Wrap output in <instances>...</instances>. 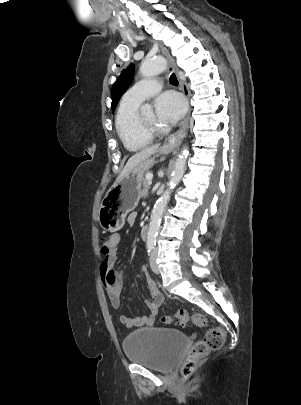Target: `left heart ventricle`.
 Instances as JSON below:
<instances>
[{"mask_svg":"<svg viewBox=\"0 0 301 405\" xmlns=\"http://www.w3.org/2000/svg\"><path fill=\"white\" fill-rule=\"evenodd\" d=\"M140 117L141 120L147 125H158L156 115L152 112L145 113Z\"/></svg>","mask_w":301,"mask_h":405,"instance_id":"b2bd125f","label":"left heart ventricle"}]
</instances>
